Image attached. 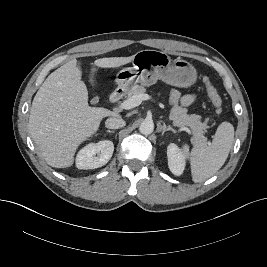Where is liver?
I'll use <instances>...</instances> for the list:
<instances>
[{"label": "liver", "mask_w": 267, "mask_h": 267, "mask_svg": "<svg viewBox=\"0 0 267 267\" xmlns=\"http://www.w3.org/2000/svg\"><path fill=\"white\" fill-rule=\"evenodd\" d=\"M132 58H101L95 63L100 68H116ZM81 76L77 60L67 62L46 78L32 102L30 135L46 163L55 168L71 166L78 146L97 132L102 119L117 116L105 108L89 106Z\"/></svg>", "instance_id": "1"}]
</instances>
